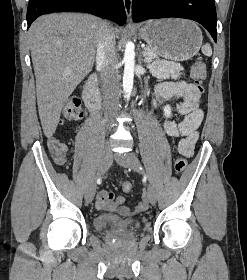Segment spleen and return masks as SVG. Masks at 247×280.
Listing matches in <instances>:
<instances>
[{
  "mask_svg": "<svg viewBox=\"0 0 247 280\" xmlns=\"http://www.w3.org/2000/svg\"><path fill=\"white\" fill-rule=\"evenodd\" d=\"M202 53L208 57L212 55V49L208 43L202 47Z\"/></svg>",
  "mask_w": 247,
  "mask_h": 280,
  "instance_id": "spleen-1",
  "label": "spleen"
}]
</instances>
